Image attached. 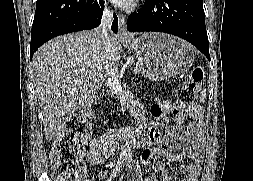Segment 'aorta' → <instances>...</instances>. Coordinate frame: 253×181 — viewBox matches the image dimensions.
Instances as JSON below:
<instances>
[{
	"label": "aorta",
	"instance_id": "762f6f07",
	"mask_svg": "<svg viewBox=\"0 0 253 181\" xmlns=\"http://www.w3.org/2000/svg\"><path fill=\"white\" fill-rule=\"evenodd\" d=\"M123 148V150H124V152H121V157H127V152H125V147L123 146L122 147Z\"/></svg>",
	"mask_w": 253,
	"mask_h": 181
}]
</instances>
